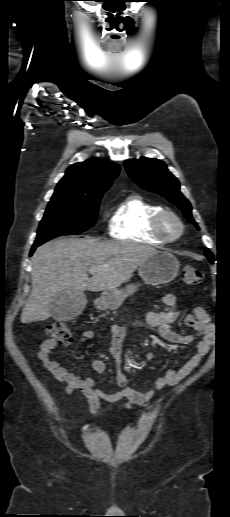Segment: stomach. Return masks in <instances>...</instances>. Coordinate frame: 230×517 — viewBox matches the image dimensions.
Wrapping results in <instances>:
<instances>
[{"instance_id":"obj_1","label":"stomach","mask_w":230,"mask_h":517,"mask_svg":"<svg viewBox=\"0 0 230 517\" xmlns=\"http://www.w3.org/2000/svg\"><path fill=\"white\" fill-rule=\"evenodd\" d=\"M179 261L166 251H157L139 266V276L151 285L166 284L172 281L179 271ZM138 290V285L130 284L125 289H110L102 293L96 301L100 309L115 310L122 305L124 300Z\"/></svg>"}]
</instances>
